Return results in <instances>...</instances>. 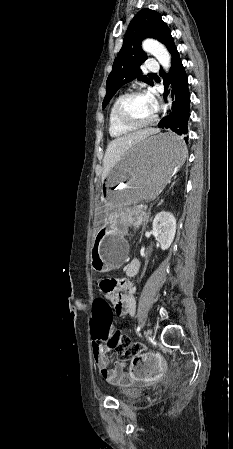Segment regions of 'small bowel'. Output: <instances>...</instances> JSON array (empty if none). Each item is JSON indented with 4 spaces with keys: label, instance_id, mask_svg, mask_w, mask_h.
<instances>
[{
    "label": "small bowel",
    "instance_id": "obj_1",
    "mask_svg": "<svg viewBox=\"0 0 233 449\" xmlns=\"http://www.w3.org/2000/svg\"><path fill=\"white\" fill-rule=\"evenodd\" d=\"M138 270L139 261L132 259L125 267L127 278L118 279L115 274H103L99 279V286L104 296L115 306L117 313L121 316H134L136 314V287L128 278L136 276ZM109 351L110 349L92 348L93 360L103 379L110 384H116L126 380L128 376L124 372V362L122 361L116 362L114 367L109 368L107 357ZM161 361V354H146L143 361L144 368H137L135 381L140 383L141 377H156L161 370Z\"/></svg>",
    "mask_w": 233,
    "mask_h": 449
}]
</instances>
